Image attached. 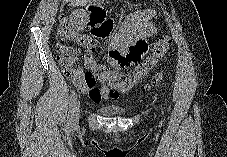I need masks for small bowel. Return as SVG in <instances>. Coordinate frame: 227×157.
<instances>
[{"label":"small bowel","instance_id":"1","mask_svg":"<svg viewBox=\"0 0 227 157\" xmlns=\"http://www.w3.org/2000/svg\"><path fill=\"white\" fill-rule=\"evenodd\" d=\"M157 14L155 9H143L128 15L108 46L100 49V52H105L109 65L121 70L131 65L124 62H140L143 54H147L146 38L157 31L156 25L152 22ZM141 78L135 77L132 86ZM74 84L80 93L88 95L94 103L118 97V91L105 82L101 83L100 88L96 84H90L81 68L76 71Z\"/></svg>","mask_w":227,"mask_h":157}]
</instances>
